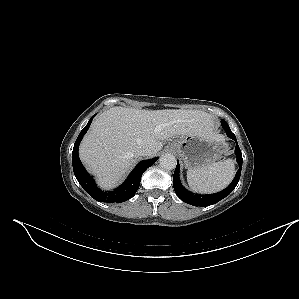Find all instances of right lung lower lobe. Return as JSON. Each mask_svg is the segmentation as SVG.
<instances>
[{
  "instance_id": "98d812e1",
  "label": "right lung lower lobe",
  "mask_w": 299,
  "mask_h": 299,
  "mask_svg": "<svg viewBox=\"0 0 299 299\" xmlns=\"http://www.w3.org/2000/svg\"><path fill=\"white\" fill-rule=\"evenodd\" d=\"M93 117L94 116L90 118L88 124L85 126L84 129H82L74 144V148L72 152V163H73L74 174L78 182L80 183V185L83 187V189L87 193H89V195L95 200L99 202H108V203L124 202L130 199L136 193L140 185L142 174L148 167L152 166L157 161L158 158L156 157L138 163L137 166L129 175V177L126 179V181L121 186L116 188L114 191H109V192L102 191L97 187L93 177L87 173L78 156V148H79L80 141L82 140L83 136L85 135L88 128L90 127Z\"/></svg>"
}]
</instances>
